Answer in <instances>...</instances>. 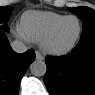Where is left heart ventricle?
Wrapping results in <instances>:
<instances>
[{
	"mask_svg": "<svg viewBox=\"0 0 95 95\" xmlns=\"http://www.w3.org/2000/svg\"><path fill=\"white\" fill-rule=\"evenodd\" d=\"M79 33V22L75 18L66 20L58 31L54 34L51 43L56 47H66L70 45Z\"/></svg>",
	"mask_w": 95,
	"mask_h": 95,
	"instance_id": "1",
	"label": "left heart ventricle"
}]
</instances>
